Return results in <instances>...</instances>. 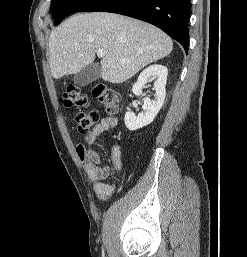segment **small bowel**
<instances>
[{"label":"small bowel","mask_w":247,"mask_h":257,"mask_svg":"<svg viewBox=\"0 0 247 257\" xmlns=\"http://www.w3.org/2000/svg\"><path fill=\"white\" fill-rule=\"evenodd\" d=\"M117 125L116 117H105L89 131L84 143H80L76 147V153L80 159L85 172L89 179L93 182V189L98 198L102 200L108 199L115 191V183H107L110 169L102 165V160L95 148L97 138ZM122 151L118 144H114L111 148V162L116 175H120L122 171Z\"/></svg>","instance_id":"1"}]
</instances>
